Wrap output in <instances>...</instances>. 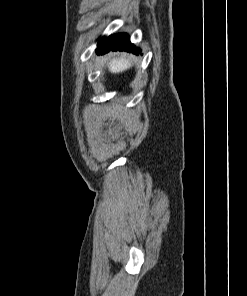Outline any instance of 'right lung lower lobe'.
<instances>
[{
  "label": "right lung lower lobe",
  "instance_id": "obj_1",
  "mask_svg": "<svg viewBox=\"0 0 247 296\" xmlns=\"http://www.w3.org/2000/svg\"><path fill=\"white\" fill-rule=\"evenodd\" d=\"M128 51L139 54L141 50L130 43L127 34H116L108 38H103L98 43L97 53H106L109 51Z\"/></svg>",
  "mask_w": 247,
  "mask_h": 296
}]
</instances>
